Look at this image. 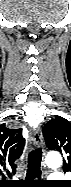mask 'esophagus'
<instances>
[{
  "label": "esophagus",
  "instance_id": "obj_1",
  "mask_svg": "<svg viewBox=\"0 0 71 187\" xmlns=\"http://www.w3.org/2000/svg\"><path fill=\"white\" fill-rule=\"evenodd\" d=\"M31 143L35 148L43 147V137L39 128H36L31 132Z\"/></svg>",
  "mask_w": 71,
  "mask_h": 187
}]
</instances>
